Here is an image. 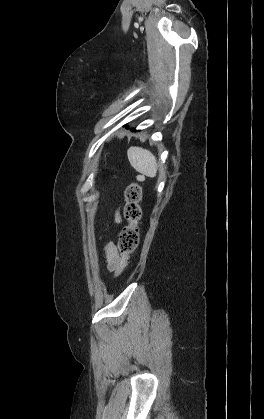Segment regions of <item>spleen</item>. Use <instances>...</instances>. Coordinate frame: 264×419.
Masks as SVG:
<instances>
[{
	"instance_id": "spleen-1",
	"label": "spleen",
	"mask_w": 264,
	"mask_h": 419,
	"mask_svg": "<svg viewBox=\"0 0 264 419\" xmlns=\"http://www.w3.org/2000/svg\"><path fill=\"white\" fill-rule=\"evenodd\" d=\"M131 166L139 173L155 177L157 174V161L155 156L146 149L132 146L127 151Z\"/></svg>"
}]
</instances>
